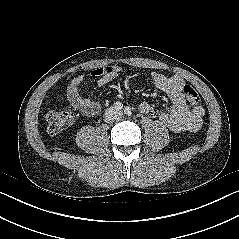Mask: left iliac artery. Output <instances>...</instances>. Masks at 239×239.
Listing matches in <instances>:
<instances>
[{"instance_id":"1","label":"left iliac artery","mask_w":239,"mask_h":239,"mask_svg":"<svg viewBox=\"0 0 239 239\" xmlns=\"http://www.w3.org/2000/svg\"><path fill=\"white\" fill-rule=\"evenodd\" d=\"M124 113L126 114V115H128V116H130L131 114H132V112H131V108L130 107H125V109H124Z\"/></svg>"}]
</instances>
